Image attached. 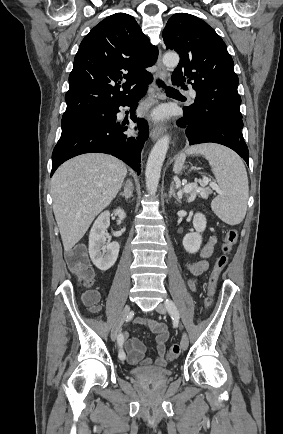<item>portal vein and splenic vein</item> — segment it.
I'll list each match as a JSON object with an SVG mask.
<instances>
[{
	"label": "portal vein and splenic vein",
	"mask_w": 283,
	"mask_h": 434,
	"mask_svg": "<svg viewBox=\"0 0 283 434\" xmlns=\"http://www.w3.org/2000/svg\"><path fill=\"white\" fill-rule=\"evenodd\" d=\"M202 183L205 184V185H207L209 183V179L207 177H204L203 180H202ZM210 186H211L212 189H214L216 191L219 190V187H218V185L216 183L212 182V183H210ZM195 188H197V183H191V184L186 185L183 188V192L190 193Z\"/></svg>",
	"instance_id": "18ae733b"
}]
</instances>
